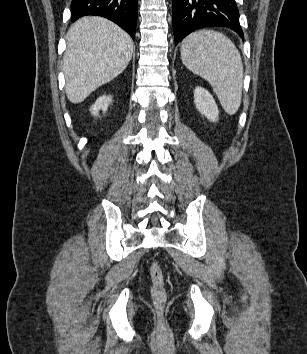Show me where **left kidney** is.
<instances>
[{"instance_id":"1","label":"left kidney","mask_w":307,"mask_h":354,"mask_svg":"<svg viewBox=\"0 0 307 354\" xmlns=\"http://www.w3.org/2000/svg\"><path fill=\"white\" fill-rule=\"evenodd\" d=\"M194 103L197 110L209 121H218V106L213 96L206 89L202 87H196L194 91Z\"/></svg>"}]
</instances>
